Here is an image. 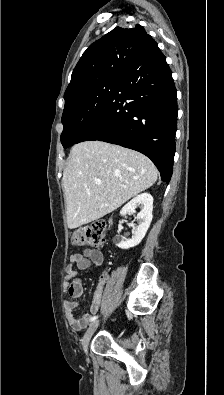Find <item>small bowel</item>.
Wrapping results in <instances>:
<instances>
[{
	"label": "small bowel",
	"mask_w": 224,
	"mask_h": 395,
	"mask_svg": "<svg viewBox=\"0 0 224 395\" xmlns=\"http://www.w3.org/2000/svg\"><path fill=\"white\" fill-rule=\"evenodd\" d=\"M103 259L102 252L96 249H87L84 254H73L69 259L66 271L67 278L70 282L68 283L66 292L74 300L66 301L64 308L69 325L76 331L83 330L90 322L91 317H93L92 315L98 311L101 295L108 281V275L104 274L96 287L89 306V312L83 314L82 317H75L74 310L83 297L82 279L78 277V271L87 270L93 264L101 266Z\"/></svg>",
	"instance_id": "small-bowel-1"
}]
</instances>
